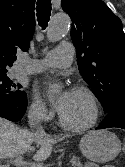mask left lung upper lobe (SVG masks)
Here are the masks:
<instances>
[{
    "mask_svg": "<svg viewBox=\"0 0 125 167\" xmlns=\"http://www.w3.org/2000/svg\"><path fill=\"white\" fill-rule=\"evenodd\" d=\"M72 20L71 39L81 75L107 113L125 105V34L101 0H61Z\"/></svg>",
    "mask_w": 125,
    "mask_h": 167,
    "instance_id": "5c2ea615",
    "label": "left lung upper lobe"
}]
</instances>
